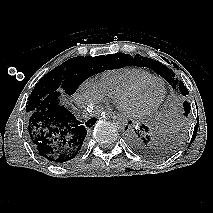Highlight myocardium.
Instances as JSON below:
<instances>
[{
	"label": "myocardium",
	"instance_id": "f54148a6",
	"mask_svg": "<svg viewBox=\"0 0 213 213\" xmlns=\"http://www.w3.org/2000/svg\"><path fill=\"white\" fill-rule=\"evenodd\" d=\"M158 80L161 85H162V94L160 99L143 108H139V109H131L126 105L127 100L132 97L146 82L150 81V80ZM166 96V84L165 81L162 77H160L159 75H155V74H150L146 77H143L139 80H137L136 82H134L133 84H131L128 88H126L117 98H116V104L117 107L120 111H122L124 114H126L127 116H131V117H143L146 115H149L151 113H153L155 110H157L163 103L164 99Z\"/></svg>",
	"mask_w": 213,
	"mask_h": 213
}]
</instances>
